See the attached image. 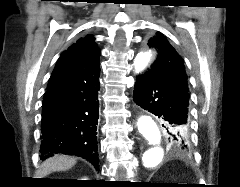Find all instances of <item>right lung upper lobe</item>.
<instances>
[{
    "label": "right lung upper lobe",
    "instance_id": "cb5924a9",
    "mask_svg": "<svg viewBox=\"0 0 240 187\" xmlns=\"http://www.w3.org/2000/svg\"><path fill=\"white\" fill-rule=\"evenodd\" d=\"M92 35H87L72 44L58 59L49 79L47 89L55 88L65 81L85 77L100 70V50Z\"/></svg>",
    "mask_w": 240,
    "mask_h": 187
}]
</instances>
